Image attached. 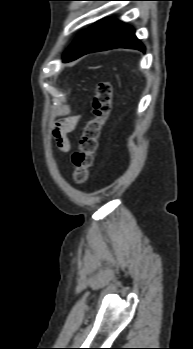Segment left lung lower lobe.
Masks as SVG:
<instances>
[{
  "mask_svg": "<svg viewBox=\"0 0 193 349\" xmlns=\"http://www.w3.org/2000/svg\"><path fill=\"white\" fill-rule=\"evenodd\" d=\"M113 48L145 51V47L136 38L134 29L120 21L106 18L89 27L76 45L65 53L63 61L69 62L90 52Z\"/></svg>",
  "mask_w": 193,
  "mask_h": 349,
  "instance_id": "left-lung-lower-lobe-1",
  "label": "left lung lower lobe"
}]
</instances>
